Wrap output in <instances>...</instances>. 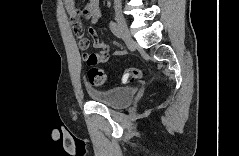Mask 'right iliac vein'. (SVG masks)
I'll return each mask as SVG.
<instances>
[{
	"instance_id": "63e3f726",
	"label": "right iliac vein",
	"mask_w": 239,
	"mask_h": 156,
	"mask_svg": "<svg viewBox=\"0 0 239 156\" xmlns=\"http://www.w3.org/2000/svg\"><path fill=\"white\" fill-rule=\"evenodd\" d=\"M115 18H116L118 26L121 30V33L126 40V43L128 45H131L133 43V40L131 38L129 29H128V26H127V22H126V20H125V18H124L120 9L115 10Z\"/></svg>"
}]
</instances>
